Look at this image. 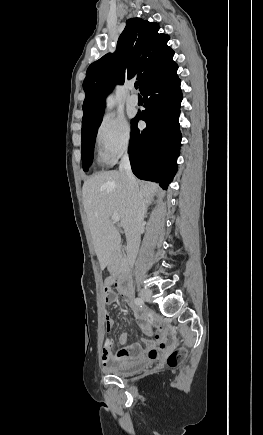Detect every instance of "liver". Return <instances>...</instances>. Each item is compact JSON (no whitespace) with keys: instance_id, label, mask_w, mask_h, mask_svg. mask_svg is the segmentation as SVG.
Instances as JSON below:
<instances>
[{"instance_id":"6515ba94","label":"liver","mask_w":263,"mask_h":435,"mask_svg":"<svg viewBox=\"0 0 263 435\" xmlns=\"http://www.w3.org/2000/svg\"><path fill=\"white\" fill-rule=\"evenodd\" d=\"M136 182L144 203L151 201L158 186L149 182ZM82 195L94 249L103 270L110 263L121 240L110 219L111 215H119L124 230L129 225L125 185L118 171L100 172L84 182Z\"/></svg>"}]
</instances>
